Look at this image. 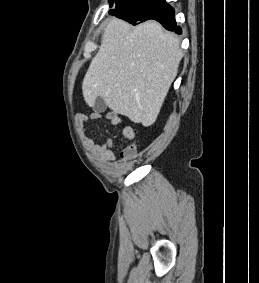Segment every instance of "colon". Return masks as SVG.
Here are the masks:
<instances>
[{"instance_id":"colon-1","label":"colon","mask_w":259,"mask_h":283,"mask_svg":"<svg viewBox=\"0 0 259 283\" xmlns=\"http://www.w3.org/2000/svg\"><path fill=\"white\" fill-rule=\"evenodd\" d=\"M135 153V145L133 143H130L126 146L123 152V156L126 159L131 158Z\"/></svg>"}]
</instances>
